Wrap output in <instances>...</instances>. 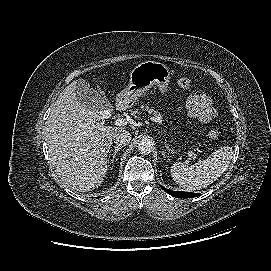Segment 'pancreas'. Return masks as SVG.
Segmentation results:
<instances>
[{"instance_id":"cf45deb5","label":"pancreas","mask_w":271,"mask_h":271,"mask_svg":"<svg viewBox=\"0 0 271 271\" xmlns=\"http://www.w3.org/2000/svg\"><path fill=\"white\" fill-rule=\"evenodd\" d=\"M145 110H146L149 114H153V115L155 116L156 119H161V118H162L160 112L155 111L154 109L149 108L148 106L145 107Z\"/></svg>"}]
</instances>
